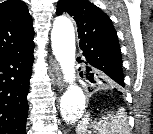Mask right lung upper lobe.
<instances>
[{"label":"right lung upper lobe","mask_w":153,"mask_h":134,"mask_svg":"<svg viewBox=\"0 0 153 134\" xmlns=\"http://www.w3.org/2000/svg\"><path fill=\"white\" fill-rule=\"evenodd\" d=\"M33 38L26 4L21 0L0 3V59L34 46Z\"/></svg>","instance_id":"1"}]
</instances>
